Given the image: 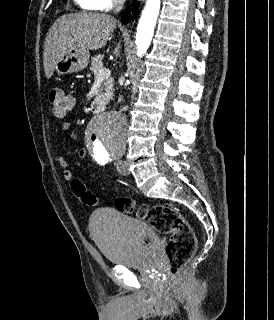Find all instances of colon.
<instances>
[{
  "instance_id": "colon-1",
  "label": "colon",
  "mask_w": 274,
  "mask_h": 320,
  "mask_svg": "<svg viewBox=\"0 0 274 320\" xmlns=\"http://www.w3.org/2000/svg\"><path fill=\"white\" fill-rule=\"evenodd\" d=\"M48 96L54 117L63 119L73 106L71 96L61 87L50 88ZM70 185L73 194L81 198L85 204L93 205L96 202V198L86 189L81 180L73 177ZM115 207L118 211L126 214L137 212L159 233L169 234L170 241L167 246L169 270L176 274L185 268L195 254L197 239L192 226L181 216L178 210L163 203H155L150 207L137 210L133 200L126 197L116 199Z\"/></svg>"
}]
</instances>
